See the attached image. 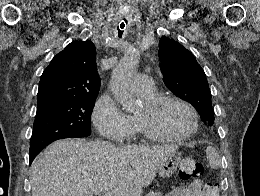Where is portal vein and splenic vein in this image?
Listing matches in <instances>:
<instances>
[{
    "label": "portal vein and splenic vein",
    "mask_w": 260,
    "mask_h": 196,
    "mask_svg": "<svg viewBox=\"0 0 260 196\" xmlns=\"http://www.w3.org/2000/svg\"><path fill=\"white\" fill-rule=\"evenodd\" d=\"M95 196H113V192H94Z\"/></svg>",
    "instance_id": "portal-vein-and-splenic-vein-1"
}]
</instances>
